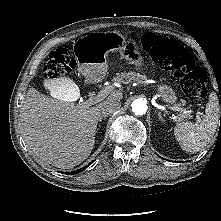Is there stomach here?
<instances>
[{
  "label": "stomach",
  "mask_w": 221,
  "mask_h": 221,
  "mask_svg": "<svg viewBox=\"0 0 221 221\" xmlns=\"http://www.w3.org/2000/svg\"><path fill=\"white\" fill-rule=\"evenodd\" d=\"M84 46L77 54L78 70L89 81H101L107 72V55L112 51H119L122 58L129 64L140 68L144 65V59L138 55L137 45L134 42H125L122 34L116 31L96 32L79 40ZM158 93L168 104L176 101V96L166 85L158 87Z\"/></svg>",
  "instance_id": "0dacf381"
}]
</instances>
